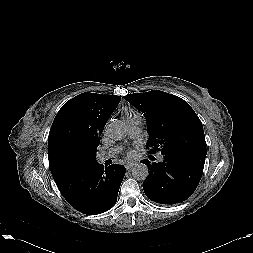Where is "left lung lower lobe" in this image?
<instances>
[{"mask_svg":"<svg viewBox=\"0 0 253 253\" xmlns=\"http://www.w3.org/2000/svg\"><path fill=\"white\" fill-rule=\"evenodd\" d=\"M162 155L163 162L142 160L149 167V175L143 183L144 192L150 200L160 204L185 201L200 182L207 153L182 150Z\"/></svg>","mask_w":253,"mask_h":253,"instance_id":"left-lung-lower-lobe-1","label":"left lung lower lobe"}]
</instances>
